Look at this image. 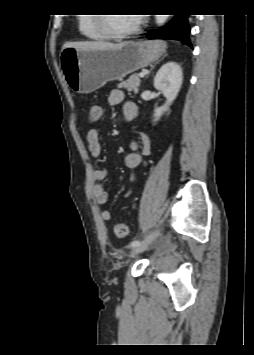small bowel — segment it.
I'll list each match as a JSON object with an SVG mask.
<instances>
[{
  "label": "small bowel",
  "instance_id": "small-bowel-1",
  "mask_svg": "<svg viewBox=\"0 0 254 355\" xmlns=\"http://www.w3.org/2000/svg\"><path fill=\"white\" fill-rule=\"evenodd\" d=\"M125 95L120 89H114L109 94V103L112 105L123 104V113L127 120H133L137 115V106L134 102H124ZM100 128L93 127L89 129L86 135L88 148L93 157H100L102 154V145L100 142ZM151 143L149 138L143 133L138 132L131 141V151L124 159L125 167L131 171L130 182L134 184L137 180L136 169L144 163V157L150 155ZM109 171L105 168H94L92 170V196L98 205H104L108 201V192L99 183L107 179ZM131 196V189L127 190L124 194L125 198ZM103 220L111 219V212L103 210L101 212Z\"/></svg>",
  "mask_w": 254,
  "mask_h": 355
}]
</instances>
